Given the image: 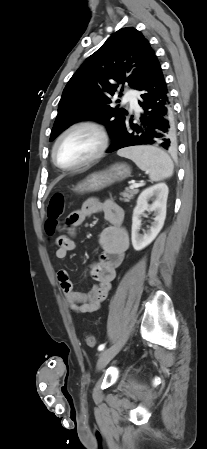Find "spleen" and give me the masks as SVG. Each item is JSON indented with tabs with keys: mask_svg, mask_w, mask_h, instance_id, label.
Wrapping results in <instances>:
<instances>
[{
	"mask_svg": "<svg viewBox=\"0 0 207 449\" xmlns=\"http://www.w3.org/2000/svg\"><path fill=\"white\" fill-rule=\"evenodd\" d=\"M118 155L131 159L149 174L151 181H160L173 175V161L167 153L154 146H134L119 150Z\"/></svg>",
	"mask_w": 207,
	"mask_h": 449,
	"instance_id": "1",
	"label": "spleen"
}]
</instances>
